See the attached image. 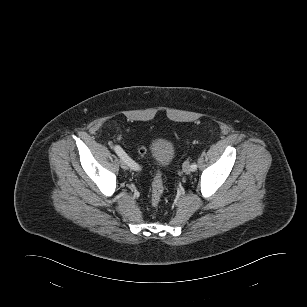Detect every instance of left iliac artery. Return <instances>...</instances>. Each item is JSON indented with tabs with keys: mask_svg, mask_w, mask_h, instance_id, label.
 <instances>
[{
	"mask_svg": "<svg viewBox=\"0 0 307 307\" xmlns=\"http://www.w3.org/2000/svg\"><path fill=\"white\" fill-rule=\"evenodd\" d=\"M197 169V164L196 163H192L191 164V170L195 171Z\"/></svg>",
	"mask_w": 307,
	"mask_h": 307,
	"instance_id": "obj_1",
	"label": "left iliac artery"
}]
</instances>
